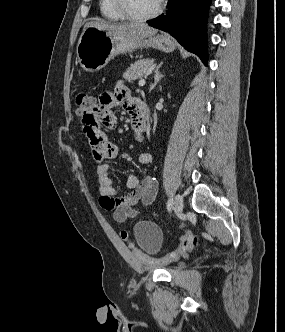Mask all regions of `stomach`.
I'll use <instances>...</instances> for the list:
<instances>
[{
	"mask_svg": "<svg viewBox=\"0 0 285 332\" xmlns=\"http://www.w3.org/2000/svg\"><path fill=\"white\" fill-rule=\"evenodd\" d=\"M143 47L172 52L175 44L165 35L134 39L113 35L107 30L89 26L83 29L76 53L78 61L85 71L96 72L105 67L114 56Z\"/></svg>",
	"mask_w": 285,
	"mask_h": 332,
	"instance_id": "stomach-1",
	"label": "stomach"
}]
</instances>
